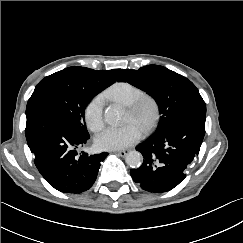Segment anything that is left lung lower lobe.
<instances>
[{
  "mask_svg": "<svg viewBox=\"0 0 243 243\" xmlns=\"http://www.w3.org/2000/svg\"><path fill=\"white\" fill-rule=\"evenodd\" d=\"M206 107L194 108L176 117L158 137L136 147L143 164L130 175L143 190L162 193L175 188L187 167L199 154L205 135Z\"/></svg>",
  "mask_w": 243,
  "mask_h": 243,
  "instance_id": "1",
  "label": "left lung lower lobe"
}]
</instances>
